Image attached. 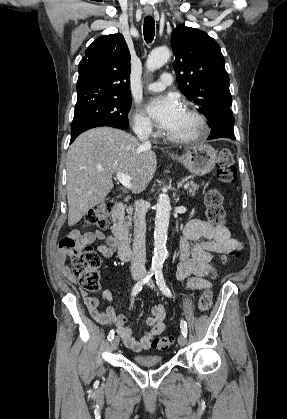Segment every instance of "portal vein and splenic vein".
I'll use <instances>...</instances> for the list:
<instances>
[{"label": "portal vein and splenic vein", "instance_id": "18ae733b", "mask_svg": "<svg viewBox=\"0 0 287 419\" xmlns=\"http://www.w3.org/2000/svg\"><path fill=\"white\" fill-rule=\"evenodd\" d=\"M116 178L118 181L128 189L132 188L131 177L124 173H116ZM189 187V183L184 185V189L186 190Z\"/></svg>", "mask_w": 287, "mask_h": 419}]
</instances>
